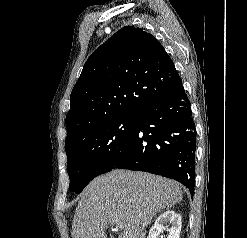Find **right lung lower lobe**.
<instances>
[{
	"label": "right lung lower lobe",
	"instance_id": "obj_1",
	"mask_svg": "<svg viewBox=\"0 0 247 238\" xmlns=\"http://www.w3.org/2000/svg\"><path fill=\"white\" fill-rule=\"evenodd\" d=\"M136 126L113 168L168 177L194 191L196 132L181 78L138 113Z\"/></svg>",
	"mask_w": 247,
	"mask_h": 238
}]
</instances>
